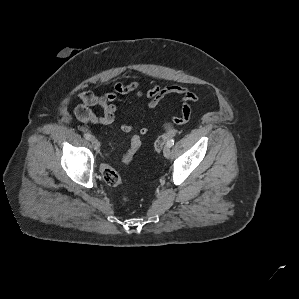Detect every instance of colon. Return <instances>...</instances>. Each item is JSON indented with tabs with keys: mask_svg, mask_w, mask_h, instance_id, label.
<instances>
[{
	"mask_svg": "<svg viewBox=\"0 0 299 299\" xmlns=\"http://www.w3.org/2000/svg\"><path fill=\"white\" fill-rule=\"evenodd\" d=\"M177 134V130L168 129L164 134L160 135L154 142V149L156 151H161L163 146L167 141ZM142 145V136L138 133L132 134L129 146L123 155V162L129 163L132 157L137 153ZM101 175L104 182L109 186H117L121 183L122 179L120 174L112 167L108 165H103L101 167Z\"/></svg>",
	"mask_w": 299,
	"mask_h": 299,
	"instance_id": "5ec220e1",
	"label": "colon"
}]
</instances>
